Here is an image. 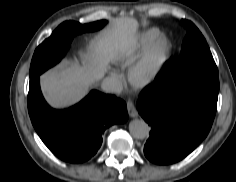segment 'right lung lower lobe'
Wrapping results in <instances>:
<instances>
[{"mask_svg":"<svg viewBox=\"0 0 236 182\" xmlns=\"http://www.w3.org/2000/svg\"><path fill=\"white\" fill-rule=\"evenodd\" d=\"M28 112L44 144L59 159L70 163L85 162L94 156L104 131L128 119L124 101L96 90L69 109H52L42 96L39 75L30 77Z\"/></svg>","mask_w":236,"mask_h":182,"instance_id":"right-lung-lower-lobe-1","label":"right lung lower lobe"}]
</instances>
